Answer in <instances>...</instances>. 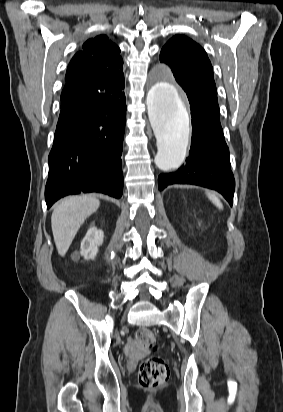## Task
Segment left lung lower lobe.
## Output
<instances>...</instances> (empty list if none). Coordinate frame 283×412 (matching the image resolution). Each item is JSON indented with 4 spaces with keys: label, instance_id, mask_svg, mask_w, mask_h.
Masks as SVG:
<instances>
[{
    "label": "left lung lower lobe",
    "instance_id": "0a47b994",
    "mask_svg": "<svg viewBox=\"0 0 283 412\" xmlns=\"http://www.w3.org/2000/svg\"><path fill=\"white\" fill-rule=\"evenodd\" d=\"M183 87L192 116L190 156L177 171L159 175V190L172 184L198 185L218 191L232 206L235 180L220 124L219 106Z\"/></svg>",
    "mask_w": 283,
    "mask_h": 412
}]
</instances>
